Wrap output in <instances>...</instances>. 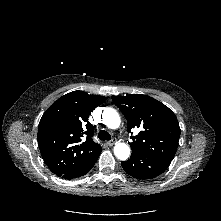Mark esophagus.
I'll list each match as a JSON object with an SVG mask.
<instances>
[{"label":"esophagus","instance_id":"34e87169","mask_svg":"<svg viewBox=\"0 0 221 221\" xmlns=\"http://www.w3.org/2000/svg\"><path fill=\"white\" fill-rule=\"evenodd\" d=\"M115 143H116V140L113 139V140H111V141H108L106 144H107L108 146H113Z\"/></svg>","mask_w":221,"mask_h":221}]
</instances>
